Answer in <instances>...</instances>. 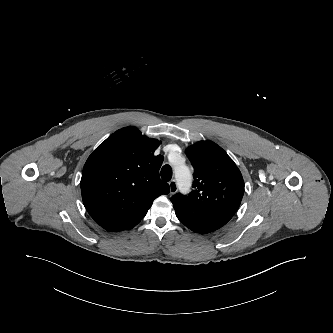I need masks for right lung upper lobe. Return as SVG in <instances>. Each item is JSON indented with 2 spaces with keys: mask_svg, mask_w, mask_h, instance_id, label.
I'll return each mask as SVG.
<instances>
[{
  "mask_svg": "<svg viewBox=\"0 0 333 333\" xmlns=\"http://www.w3.org/2000/svg\"><path fill=\"white\" fill-rule=\"evenodd\" d=\"M159 144L129 126L109 136L87 159L80 183L83 203L107 231L133 228L155 198L169 193L159 178L163 157L154 155Z\"/></svg>",
  "mask_w": 333,
  "mask_h": 333,
  "instance_id": "cb5924a9",
  "label": "right lung upper lobe"
}]
</instances>
